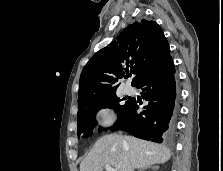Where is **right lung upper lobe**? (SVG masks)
I'll return each mask as SVG.
<instances>
[{
  "instance_id": "right-lung-upper-lobe-1",
  "label": "right lung upper lobe",
  "mask_w": 223,
  "mask_h": 171,
  "mask_svg": "<svg viewBox=\"0 0 223 171\" xmlns=\"http://www.w3.org/2000/svg\"><path fill=\"white\" fill-rule=\"evenodd\" d=\"M170 49L160 26L142 19L128 25L117 42L101 49L84 66L80 82L78 108L115 94L118 78L130 68L135 75L132 86L162 67Z\"/></svg>"
}]
</instances>
